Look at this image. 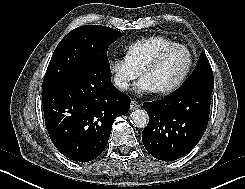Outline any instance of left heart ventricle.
I'll return each instance as SVG.
<instances>
[{"instance_id": "obj_1", "label": "left heart ventricle", "mask_w": 245, "mask_h": 189, "mask_svg": "<svg viewBox=\"0 0 245 189\" xmlns=\"http://www.w3.org/2000/svg\"><path fill=\"white\" fill-rule=\"evenodd\" d=\"M188 62L189 57L184 49H173L143 77L156 91H159L175 83L186 70Z\"/></svg>"}]
</instances>
